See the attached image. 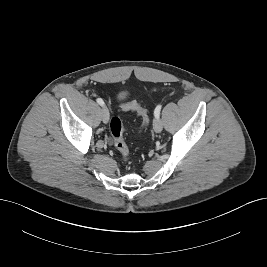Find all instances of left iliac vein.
I'll return each instance as SVG.
<instances>
[{
    "mask_svg": "<svg viewBox=\"0 0 267 267\" xmlns=\"http://www.w3.org/2000/svg\"><path fill=\"white\" fill-rule=\"evenodd\" d=\"M163 125L160 118H155L153 121V129L156 133H160L162 131Z\"/></svg>",
    "mask_w": 267,
    "mask_h": 267,
    "instance_id": "4c4485c4",
    "label": "left iliac vein"
}]
</instances>
